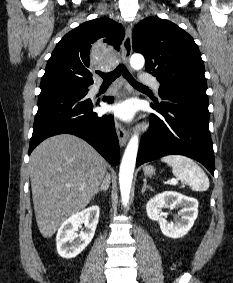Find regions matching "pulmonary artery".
<instances>
[{
    "label": "pulmonary artery",
    "instance_id": "obj_1",
    "mask_svg": "<svg viewBox=\"0 0 233 283\" xmlns=\"http://www.w3.org/2000/svg\"><path fill=\"white\" fill-rule=\"evenodd\" d=\"M141 81L142 83L151 86L156 92H158L160 83L154 77L144 75Z\"/></svg>",
    "mask_w": 233,
    "mask_h": 283
}]
</instances>
